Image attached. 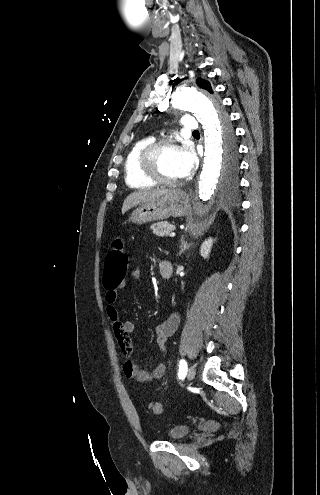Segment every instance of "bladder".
Instances as JSON below:
<instances>
[{
	"instance_id": "obj_1",
	"label": "bladder",
	"mask_w": 320,
	"mask_h": 495,
	"mask_svg": "<svg viewBox=\"0 0 320 495\" xmlns=\"http://www.w3.org/2000/svg\"><path fill=\"white\" fill-rule=\"evenodd\" d=\"M191 427L188 424H177L166 431V438L169 440H180L190 433Z\"/></svg>"
}]
</instances>
